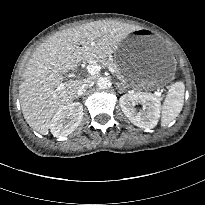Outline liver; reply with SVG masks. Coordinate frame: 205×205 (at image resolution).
<instances>
[{
  "label": "liver",
  "mask_w": 205,
  "mask_h": 205,
  "mask_svg": "<svg viewBox=\"0 0 205 205\" xmlns=\"http://www.w3.org/2000/svg\"><path fill=\"white\" fill-rule=\"evenodd\" d=\"M137 29L119 21H94L57 32L42 43L26 64L19 85L21 109L29 126L47 135L51 118L76 98L82 83L63 82V73L77 68L82 60L106 58Z\"/></svg>",
  "instance_id": "1"
}]
</instances>
